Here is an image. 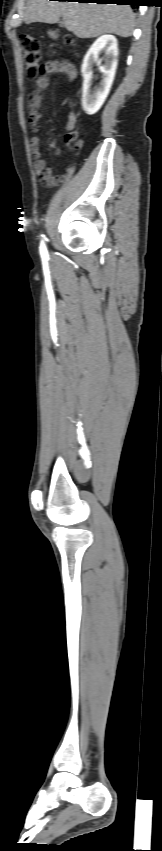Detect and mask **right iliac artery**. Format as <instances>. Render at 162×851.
I'll list each match as a JSON object with an SVG mask.
<instances>
[{
	"instance_id": "82829eb1",
	"label": "right iliac artery",
	"mask_w": 162,
	"mask_h": 851,
	"mask_svg": "<svg viewBox=\"0 0 162 851\" xmlns=\"http://www.w3.org/2000/svg\"><path fill=\"white\" fill-rule=\"evenodd\" d=\"M42 237H44V235H42ZM40 254L43 258L48 256V252H47V249H46L43 241L41 242V245H40Z\"/></svg>"
}]
</instances>
